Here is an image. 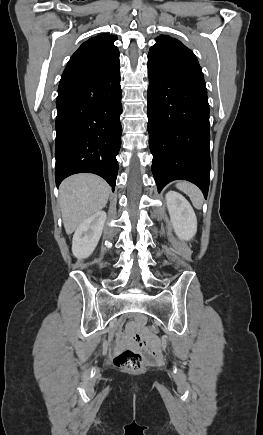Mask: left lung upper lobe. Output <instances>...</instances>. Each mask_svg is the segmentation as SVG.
Segmentation results:
<instances>
[{
  "label": "left lung upper lobe",
  "instance_id": "1",
  "mask_svg": "<svg viewBox=\"0 0 263 435\" xmlns=\"http://www.w3.org/2000/svg\"><path fill=\"white\" fill-rule=\"evenodd\" d=\"M148 63L171 76L205 84L194 53L170 36L156 38V44L149 50Z\"/></svg>",
  "mask_w": 263,
  "mask_h": 435
}]
</instances>
